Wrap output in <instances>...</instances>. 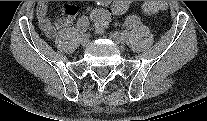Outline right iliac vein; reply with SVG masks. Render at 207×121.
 Listing matches in <instances>:
<instances>
[{"label":"right iliac vein","instance_id":"1","mask_svg":"<svg viewBox=\"0 0 207 121\" xmlns=\"http://www.w3.org/2000/svg\"><path fill=\"white\" fill-rule=\"evenodd\" d=\"M88 44H89V36L85 34L81 38V45L83 47H86Z\"/></svg>","mask_w":207,"mask_h":121}]
</instances>
